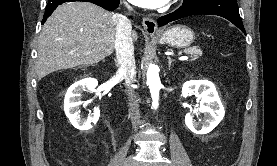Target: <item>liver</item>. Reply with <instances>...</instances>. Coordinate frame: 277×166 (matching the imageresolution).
Masks as SVG:
<instances>
[{
    "mask_svg": "<svg viewBox=\"0 0 277 166\" xmlns=\"http://www.w3.org/2000/svg\"><path fill=\"white\" fill-rule=\"evenodd\" d=\"M138 39L136 31L131 33ZM114 14L88 2L57 7L43 25L38 42L37 77L80 65H93L110 56L115 47Z\"/></svg>",
    "mask_w": 277,
    "mask_h": 166,
    "instance_id": "liver-1",
    "label": "liver"
}]
</instances>
